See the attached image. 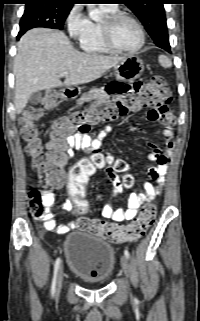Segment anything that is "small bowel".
<instances>
[{"mask_svg":"<svg viewBox=\"0 0 200 321\" xmlns=\"http://www.w3.org/2000/svg\"><path fill=\"white\" fill-rule=\"evenodd\" d=\"M144 88V83L130 84V82H123V80H114V82H109L108 85H104L103 90L90 97H87L85 100H103L105 105H115L124 101L125 98H134V96L137 94L136 90H144ZM85 100H82L81 102ZM146 119L149 121H161L165 124L163 134L166 140V146L162 149L154 143L149 144L152 150L148 155V159L156 162V164L150 167L148 175L151 180L156 182V184H153L151 181H145L143 185L144 192L130 193L127 199L126 209H115L110 204L105 205L101 211L102 216L116 223L134 219L137 215L138 208L143 203H148L158 196L161 186H163L165 183V175L168 170V160L173 143V134L171 130L172 117L167 108H152L147 112ZM110 132L111 128L106 126L95 136L85 133L68 134L65 137V144L67 146L65 163L73 149L83 150L84 152L92 155H99L103 157L106 162L110 163V166L107 169L108 179L115 186L120 187L121 179L116 174L117 170L114 166V162L116 160H113L112 156L110 155L101 153L102 142L110 134ZM64 184L65 178H62L56 181L53 187L43 194V201L47 207V213L40 218L43 221V229L46 231H54L57 234H66L70 230L78 228L77 222L58 225L54 219L53 213L50 211V208L55 202V194L53 189L61 188ZM62 209L64 211L73 210L71 207L70 198L63 203Z\"/></svg>","mask_w":200,"mask_h":321,"instance_id":"c3829d8e","label":"small bowel"}]
</instances>
